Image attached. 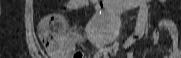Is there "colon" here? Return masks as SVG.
I'll use <instances>...</instances> for the list:
<instances>
[{"mask_svg": "<svg viewBox=\"0 0 181 58\" xmlns=\"http://www.w3.org/2000/svg\"><path fill=\"white\" fill-rule=\"evenodd\" d=\"M39 34L47 50L71 58H83V53L75 49L79 41L75 32L65 29L64 17L59 13H50L40 22Z\"/></svg>", "mask_w": 181, "mask_h": 58, "instance_id": "1", "label": "colon"}]
</instances>
